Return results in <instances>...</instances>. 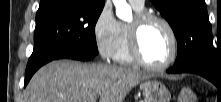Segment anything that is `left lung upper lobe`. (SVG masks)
<instances>
[{
	"label": "left lung upper lobe",
	"mask_w": 221,
	"mask_h": 102,
	"mask_svg": "<svg viewBox=\"0 0 221 102\" xmlns=\"http://www.w3.org/2000/svg\"><path fill=\"white\" fill-rule=\"evenodd\" d=\"M169 22L178 43L174 66L198 63L221 73V53L212 42L211 24L204 0H151Z\"/></svg>",
	"instance_id": "left-lung-upper-lobe-1"
}]
</instances>
